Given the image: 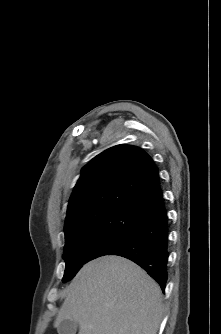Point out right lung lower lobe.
I'll use <instances>...</instances> for the list:
<instances>
[{
	"instance_id": "right-lung-lower-lobe-1",
	"label": "right lung lower lobe",
	"mask_w": 221,
	"mask_h": 334,
	"mask_svg": "<svg viewBox=\"0 0 221 334\" xmlns=\"http://www.w3.org/2000/svg\"><path fill=\"white\" fill-rule=\"evenodd\" d=\"M106 255L128 258L165 290L168 260V218L162 195L141 215L124 239Z\"/></svg>"
}]
</instances>
